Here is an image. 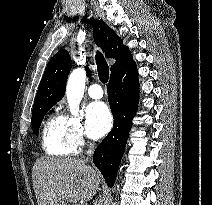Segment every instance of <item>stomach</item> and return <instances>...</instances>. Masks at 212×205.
Returning a JSON list of instances; mask_svg holds the SVG:
<instances>
[{
    "mask_svg": "<svg viewBox=\"0 0 212 205\" xmlns=\"http://www.w3.org/2000/svg\"><path fill=\"white\" fill-rule=\"evenodd\" d=\"M56 205H68L67 202H58Z\"/></svg>",
    "mask_w": 212,
    "mask_h": 205,
    "instance_id": "obj_1",
    "label": "stomach"
}]
</instances>
